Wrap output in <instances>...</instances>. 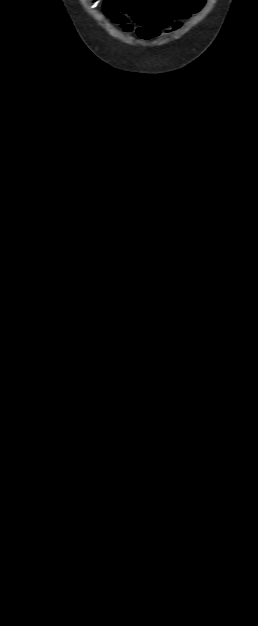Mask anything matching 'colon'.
I'll use <instances>...</instances> for the list:
<instances>
[{
	"label": "colon",
	"instance_id": "1",
	"mask_svg": "<svg viewBox=\"0 0 258 626\" xmlns=\"http://www.w3.org/2000/svg\"><path fill=\"white\" fill-rule=\"evenodd\" d=\"M119 9H122V8H119ZM122 10H123V9H122ZM132 16H135V14H132ZM153 21H154V20H153ZM154 23H157V22H156V21H154Z\"/></svg>",
	"mask_w": 258,
	"mask_h": 626
}]
</instances>
